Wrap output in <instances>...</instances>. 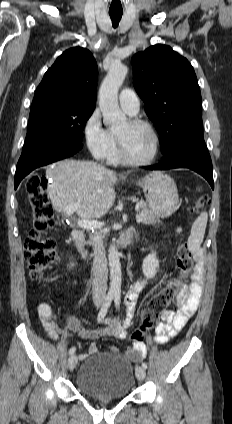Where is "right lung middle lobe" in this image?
Listing matches in <instances>:
<instances>
[{
    "label": "right lung middle lobe",
    "mask_w": 232,
    "mask_h": 424,
    "mask_svg": "<svg viewBox=\"0 0 232 424\" xmlns=\"http://www.w3.org/2000/svg\"><path fill=\"white\" fill-rule=\"evenodd\" d=\"M93 110L62 104L31 108L23 148L38 140L81 142L83 129Z\"/></svg>",
    "instance_id": "dd1d6c3e"
}]
</instances>
